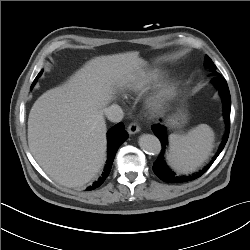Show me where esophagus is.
<instances>
[{
  "label": "esophagus",
  "instance_id": "34e87169",
  "mask_svg": "<svg viewBox=\"0 0 250 250\" xmlns=\"http://www.w3.org/2000/svg\"><path fill=\"white\" fill-rule=\"evenodd\" d=\"M127 131L129 134H136L140 131V127L137 123L133 122L128 126Z\"/></svg>",
  "mask_w": 250,
  "mask_h": 250
}]
</instances>
